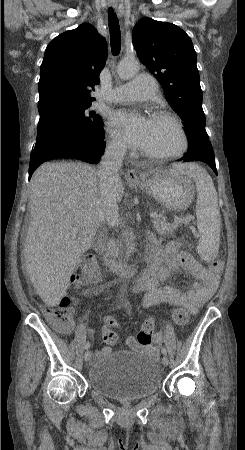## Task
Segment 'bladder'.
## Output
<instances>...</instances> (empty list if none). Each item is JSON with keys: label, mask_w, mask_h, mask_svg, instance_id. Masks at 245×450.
<instances>
[{"label": "bladder", "mask_w": 245, "mask_h": 450, "mask_svg": "<svg viewBox=\"0 0 245 450\" xmlns=\"http://www.w3.org/2000/svg\"><path fill=\"white\" fill-rule=\"evenodd\" d=\"M87 383L103 397L128 402L157 392L162 372L148 355L120 350L92 361Z\"/></svg>", "instance_id": "bladder-1"}]
</instances>
